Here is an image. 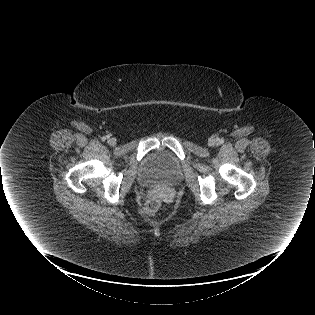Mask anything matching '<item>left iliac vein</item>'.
Here are the masks:
<instances>
[{
  "mask_svg": "<svg viewBox=\"0 0 315 315\" xmlns=\"http://www.w3.org/2000/svg\"><path fill=\"white\" fill-rule=\"evenodd\" d=\"M215 142H216V141L212 139V140L209 141V144H210V145H214Z\"/></svg>",
  "mask_w": 315,
  "mask_h": 315,
  "instance_id": "obj_1",
  "label": "left iliac vein"
}]
</instances>
